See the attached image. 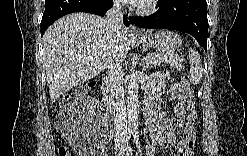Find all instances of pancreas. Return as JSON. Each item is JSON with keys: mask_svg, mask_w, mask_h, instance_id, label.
<instances>
[{"mask_svg": "<svg viewBox=\"0 0 247 156\" xmlns=\"http://www.w3.org/2000/svg\"><path fill=\"white\" fill-rule=\"evenodd\" d=\"M146 58L148 62L146 63L147 68H154L161 63H168L171 67L177 68L181 60H174L170 54L167 53H147Z\"/></svg>", "mask_w": 247, "mask_h": 156, "instance_id": "1", "label": "pancreas"}]
</instances>
